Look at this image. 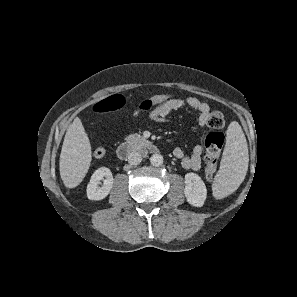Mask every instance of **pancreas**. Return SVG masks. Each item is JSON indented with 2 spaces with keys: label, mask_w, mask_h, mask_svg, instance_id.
I'll list each match as a JSON object with an SVG mask.
<instances>
[{
  "label": "pancreas",
  "mask_w": 297,
  "mask_h": 297,
  "mask_svg": "<svg viewBox=\"0 0 297 297\" xmlns=\"http://www.w3.org/2000/svg\"><path fill=\"white\" fill-rule=\"evenodd\" d=\"M125 139L132 147H140V144L145 141V139L139 134H130Z\"/></svg>",
  "instance_id": "obj_1"
}]
</instances>
